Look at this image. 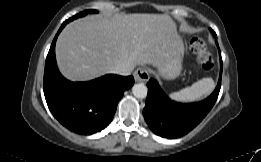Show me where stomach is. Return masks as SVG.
Masks as SVG:
<instances>
[{
    "label": "stomach",
    "instance_id": "1",
    "mask_svg": "<svg viewBox=\"0 0 261 162\" xmlns=\"http://www.w3.org/2000/svg\"><path fill=\"white\" fill-rule=\"evenodd\" d=\"M184 57V44L181 38L176 42L169 57L157 67L159 75L167 80L180 76Z\"/></svg>",
    "mask_w": 261,
    "mask_h": 162
}]
</instances>
